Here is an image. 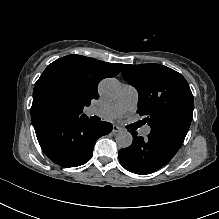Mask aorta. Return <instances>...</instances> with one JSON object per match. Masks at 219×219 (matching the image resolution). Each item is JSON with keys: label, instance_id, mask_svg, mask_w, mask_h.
I'll return each instance as SVG.
<instances>
[{"label": "aorta", "instance_id": "762f6f07", "mask_svg": "<svg viewBox=\"0 0 219 219\" xmlns=\"http://www.w3.org/2000/svg\"><path fill=\"white\" fill-rule=\"evenodd\" d=\"M121 90L120 82L115 78H106L99 84V92L102 97L114 100L117 98ZM116 143L120 148H127L132 144L133 137L128 131H120L116 135Z\"/></svg>", "mask_w": 219, "mask_h": 219}]
</instances>
